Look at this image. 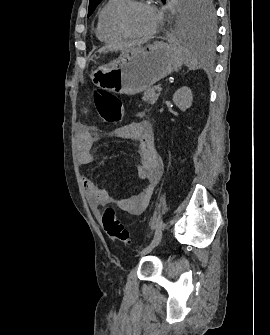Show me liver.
<instances>
[{
	"mask_svg": "<svg viewBox=\"0 0 270 335\" xmlns=\"http://www.w3.org/2000/svg\"><path fill=\"white\" fill-rule=\"evenodd\" d=\"M134 46H138V44H123V46H121V50H127V52H131V50H135ZM107 48H109V46H104V48H100L98 52H105Z\"/></svg>",
	"mask_w": 270,
	"mask_h": 335,
	"instance_id": "obj_1",
	"label": "liver"
}]
</instances>
